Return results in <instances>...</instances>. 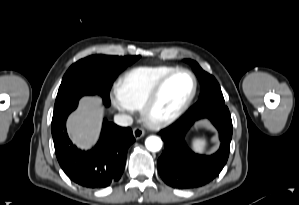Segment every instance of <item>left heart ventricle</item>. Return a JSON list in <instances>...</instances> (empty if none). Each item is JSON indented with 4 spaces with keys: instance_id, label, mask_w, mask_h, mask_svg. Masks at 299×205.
I'll return each mask as SVG.
<instances>
[{
    "instance_id": "left-heart-ventricle-1",
    "label": "left heart ventricle",
    "mask_w": 299,
    "mask_h": 205,
    "mask_svg": "<svg viewBox=\"0 0 299 205\" xmlns=\"http://www.w3.org/2000/svg\"><path fill=\"white\" fill-rule=\"evenodd\" d=\"M192 89L189 75L180 73L174 76L163 88L153 109L156 117L167 115L179 108L187 99Z\"/></svg>"
}]
</instances>
